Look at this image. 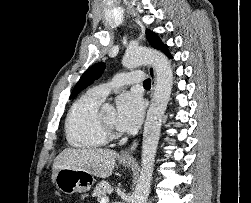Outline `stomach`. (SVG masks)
<instances>
[{"mask_svg":"<svg viewBox=\"0 0 251 203\" xmlns=\"http://www.w3.org/2000/svg\"><path fill=\"white\" fill-rule=\"evenodd\" d=\"M120 163L128 167L132 161L120 160ZM94 176L84 170H73L68 168L60 169L55 178L56 187L65 194L75 192H87L94 184Z\"/></svg>","mask_w":251,"mask_h":203,"instance_id":"stomach-1","label":"stomach"}]
</instances>
